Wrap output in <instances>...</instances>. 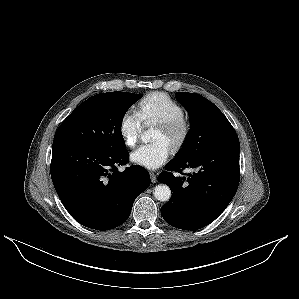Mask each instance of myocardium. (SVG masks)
I'll return each mask as SVG.
<instances>
[{"mask_svg": "<svg viewBox=\"0 0 299 299\" xmlns=\"http://www.w3.org/2000/svg\"><path fill=\"white\" fill-rule=\"evenodd\" d=\"M158 126L172 137L170 147L173 151L180 150L186 144L191 133V124L184 117L160 122Z\"/></svg>", "mask_w": 299, "mask_h": 299, "instance_id": "f54148a6", "label": "myocardium"}]
</instances>
